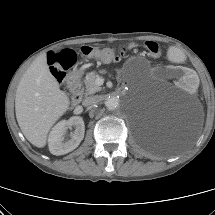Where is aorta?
Listing matches in <instances>:
<instances>
[{
    "mask_svg": "<svg viewBox=\"0 0 215 215\" xmlns=\"http://www.w3.org/2000/svg\"><path fill=\"white\" fill-rule=\"evenodd\" d=\"M119 105L118 99L110 98L106 101V106L109 110H115Z\"/></svg>",
    "mask_w": 215,
    "mask_h": 215,
    "instance_id": "obj_1",
    "label": "aorta"
}]
</instances>
